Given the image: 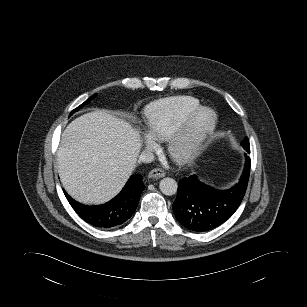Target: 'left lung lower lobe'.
I'll list each match as a JSON object with an SVG mask.
<instances>
[{
    "label": "left lung lower lobe",
    "instance_id": "obj_1",
    "mask_svg": "<svg viewBox=\"0 0 307 307\" xmlns=\"http://www.w3.org/2000/svg\"><path fill=\"white\" fill-rule=\"evenodd\" d=\"M245 156L240 181L230 189L217 190L200 182L195 175L179 181L173 212L184 227L195 232L209 231L235 213L245 195L250 174V158Z\"/></svg>",
    "mask_w": 307,
    "mask_h": 307
}]
</instances>
